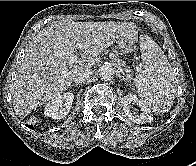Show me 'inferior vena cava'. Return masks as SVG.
I'll use <instances>...</instances> for the list:
<instances>
[{"label": "inferior vena cava", "instance_id": "602c4592", "mask_svg": "<svg viewBox=\"0 0 196 166\" xmlns=\"http://www.w3.org/2000/svg\"><path fill=\"white\" fill-rule=\"evenodd\" d=\"M91 74V69H82L79 72L75 73V75L73 76V81L75 83H82L87 80Z\"/></svg>", "mask_w": 196, "mask_h": 166}]
</instances>
